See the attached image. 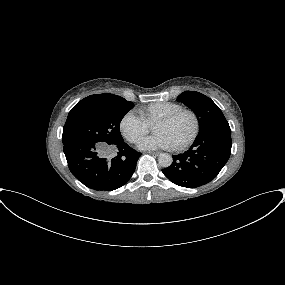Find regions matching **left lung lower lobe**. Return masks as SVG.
Segmentation results:
<instances>
[{"label": "left lung lower lobe", "instance_id": "0a47b994", "mask_svg": "<svg viewBox=\"0 0 285 285\" xmlns=\"http://www.w3.org/2000/svg\"><path fill=\"white\" fill-rule=\"evenodd\" d=\"M230 127H213L199 132L190 149L173 156V163L162 169L173 183L196 188L212 181L231 153Z\"/></svg>", "mask_w": 285, "mask_h": 285}]
</instances>
